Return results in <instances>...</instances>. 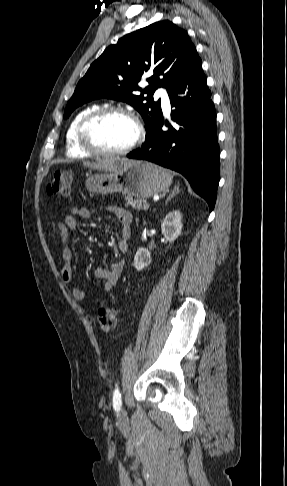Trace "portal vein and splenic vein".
I'll return each instance as SVG.
<instances>
[{"label":"portal vein and splenic vein","mask_w":287,"mask_h":486,"mask_svg":"<svg viewBox=\"0 0 287 486\" xmlns=\"http://www.w3.org/2000/svg\"><path fill=\"white\" fill-rule=\"evenodd\" d=\"M148 208H149V204H148V203H145V204L143 205V209H144V210H148Z\"/></svg>","instance_id":"18ae733b"}]
</instances>
